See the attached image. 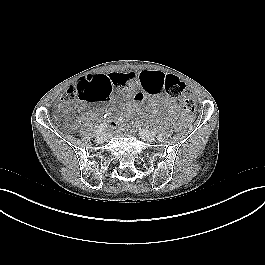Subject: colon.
<instances>
[{"instance_id":"obj_1","label":"colon","mask_w":265,"mask_h":265,"mask_svg":"<svg viewBox=\"0 0 265 265\" xmlns=\"http://www.w3.org/2000/svg\"><path fill=\"white\" fill-rule=\"evenodd\" d=\"M112 90L105 79L95 78L90 81L80 80L77 84L67 90L63 103L76 97L85 101H104L109 98ZM158 93H166L172 98H181L185 110L192 111L195 108V100L185 92V85L180 79L172 74L166 75L164 81L158 87ZM134 106L138 108L143 102V95L135 93L133 95ZM78 124L76 118L68 121V127L75 128Z\"/></svg>"}]
</instances>
